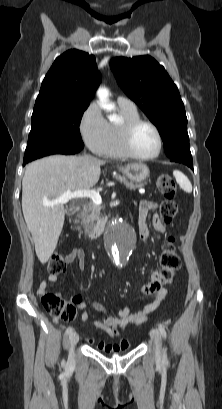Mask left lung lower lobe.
Instances as JSON below:
<instances>
[{
	"instance_id": "obj_1",
	"label": "left lung lower lobe",
	"mask_w": 222,
	"mask_h": 409,
	"mask_svg": "<svg viewBox=\"0 0 222 409\" xmlns=\"http://www.w3.org/2000/svg\"><path fill=\"white\" fill-rule=\"evenodd\" d=\"M170 160L173 161V162L183 163V164L187 165L188 167H190L193 170V163H192L191 154L172 157V158H170Z\"/></svg>"
}]
</instances>
